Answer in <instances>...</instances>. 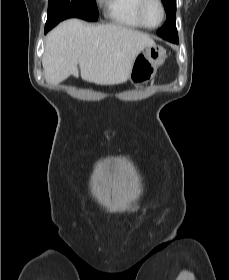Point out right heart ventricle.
<instances>
[{
	"instance_id": "obj_1",
	"label": "right heart ventricle",
	"mask_w": 229,
	"mask_h": 280,
	"mask_svg": "<svg viewBox=\"0 0 229 280\" xmlns=\"http://www.w3.org/2000/svg\"><path fill=\"white\" fill-rule=\"evenodd\" d=\"M108 20L118 26L145 28L138 19L137 9L141 0H103Z\"/></svg>"
}]
</instances>
